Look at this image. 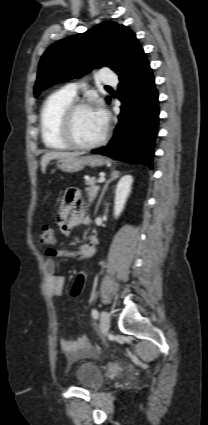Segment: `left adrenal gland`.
Listing matches in <instances>:
<instances>
[{
    "label": "left adrenal gland",
    "mask_w": 208,
    "mask_h": 425,
    "mask_svg": "<svg viewBox=\"0 0 208 425\" xmlns=\"http://www.w3.org/2000/svg\"><path fill=\"white\" fill-rule=\"evenodd\" d=\"M120 172L119 171H116V170H113L112 172H111V174H110V178L106 181V183H105V185H104V187H103V189H102V192H101V195H100V197H99V199H98V202H97V205H96V208H95V212H94V214L96 215L97 214V212H98V209H99V206H100V203H101V201H102V198H103V196H104V194H105V192H106V190H107V188H108V185L112 182V181H114L115 179H117L119 176H120Z\"/></svg>",
    "instance_id": "obj_1"
}]
</instances>
